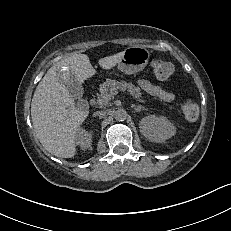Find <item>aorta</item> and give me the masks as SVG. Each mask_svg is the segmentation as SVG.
Instances as JSON below:
<instances>
[{
	"label": "aorta",
	"mask_w": 231,
	"mask_h": 231,
	"mask_svg": "<svg viewBox=\"0 0 231 231\" xmlns=\"http://www.w3.org/2000/svg\"><path fill=\"white\" fill-rule=\"evenodd\" d=\"M127 112L126 110L124 109H117L115 112H114V118L117 120V121H125L126 118H127Z\"/></svg>",
	"instance_id": "aorta-1"
}]
</instances>
